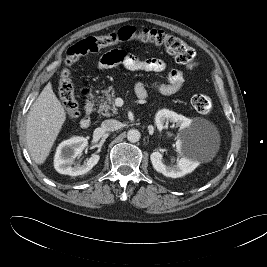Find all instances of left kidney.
<instances>
[{
	"mask_svg": "<svg viewBox=\"0 0 267 267\" xmlns=\"http://www.w3.org/2000/svg\"><path fill=\"white\" fill-rule=\"evenodd\" d=\"M166 122L176 123L180 130H185L189 128L192 124V121L182 115H179L173 111L163 109L157 112L155 116V123L159 130L165 128ZM177 148L182 150V142H177ZM184 154V152H182ZM151 163L154 169L163 174L166 177L179 178L188 173H191L198 166V162L195 161L189 154L183 155L174 166H167L162 160V154L158 151L153 152L150 155Z\"/></svg>",
	"mask_w": 267,
	"mask_h": 267,
	"instance_id": "1",
	"label": "left kidney"
}]
</instances>
